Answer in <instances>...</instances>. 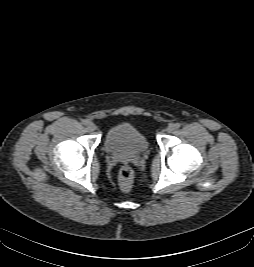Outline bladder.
Here are the masks:
<instances>
[{"mask_svg":"<svg viewBox=\"0 0 254 267\" xmlns=\"http://www.w3.org/2000/svg\"><path fill=\"white\" fill-rule=\"evenodd\" d=\"M104 148L108 153L139 155L148 149L146 136L131 123H120L106 132Z\"/></svg>","mask_w":254,"mask_h":267,"instance_id":"31cf9c89","label":"bladder"}]
</instances>
